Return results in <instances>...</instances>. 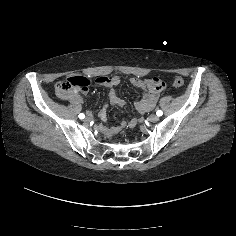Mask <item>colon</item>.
<instances>
[{
    "mask_svg": "<svg viewBox=\"0 0 236 236\" xmlns=\"http://www.w3.org/2000/svg\"><path fill=\"white\" fill-rule=\"evenodd\" d=\"M156 80V79H154ZM157 81V80H156ZM175 88H182L184 80L180 76H175L172 82ZM89 85V80L82 76L68 77L55 84V91L60 98H68L70 95L85 90Z\"/></svg>",
    "mask_w": 236,
    "mask_h": 236,
    "instance_id": "colon-1",
    "label": "colon"
}]
</instances>
